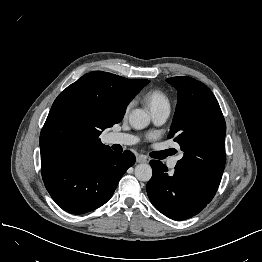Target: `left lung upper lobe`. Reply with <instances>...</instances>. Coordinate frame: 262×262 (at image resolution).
<instances>
[{
  "label": "left lung upper lobe",
  "instance_id": "5c2ea615",
  "mask_svg": "<svg viewBox=\"0 0 262 262\" xmlns=\"http://www.w3.org/2000/svg\"><path fill=\"white\" fill-rule=\"evenodd\" d=\"M178 91V103L168 138H174L184 156L176 173L210 203L225 166L226 123L211 90L190 77L168 78Z\"/></svg>",
  "mask_w": 262,
  "mask_h": 262
}]
</instances>
